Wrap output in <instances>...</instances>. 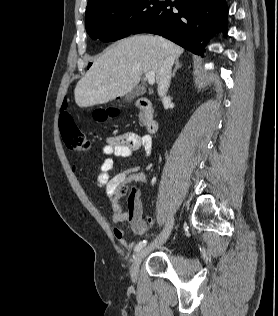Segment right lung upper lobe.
Listing matches in <instances>:
<instances>
[{
    "label": "right lung upper lobe",
    "mask_w": 278,
    "mask_h": 316,
    "mask_svg": "<svg viewBox=\"0 0 278 316\" xmlns=\"http://www.w3.org/2000/svg\"><path fill=\"white\" fill-rule=\"evenodd\" d=\"M107 1H110V0H88L86 12L92 9L93 7L100 5L102 3H105Z\"/></svg>",
    "instance_id": "cb5924a9"
}]
</instances>
